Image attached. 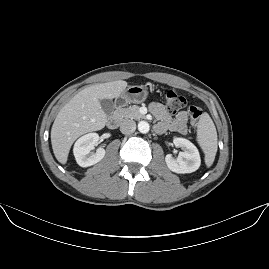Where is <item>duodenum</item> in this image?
<instances>
[{
  "label": "duodenum",
  "instance_id": "duodenum-1",
  "mask_svg": "<svg viewBox=\"0 0 269 269\" xmlns=\"http://www.w3.org/2000/svg\"><path fill=\"white\" fill-rule=\"evenodd\" d=\"M118 123H119V118L117 115H112L107 121V125L110 129L116 128Z\"/></svg>",
  "mask_w": 269,
  "mask_h": 269
}]
</instances>
